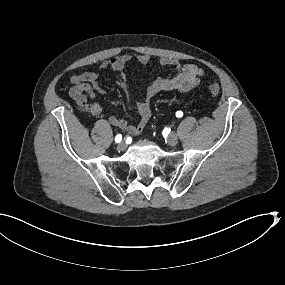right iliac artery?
<instances>
[{
    "mask_svg": "<svg viewBox=\"0 0 285 285\" xmlns=\"http://www.w3.org/2000/svg\"><path fill=\"white\" fill-rule=\"evenodd\" d=\"M122 140V135L121 134H118L116 137H115V142L119 143L121 142Z\"/></svg>",
    "mask_w": 285,
    "mask_h": 285,
    "instance_id": "right-iliac-artery-1",
    "label": "right iliac artery"
}]
</instances>
